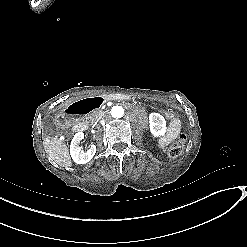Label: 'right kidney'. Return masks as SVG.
Returning <instances> with one entry per match:
<instances>
[{
	"mask_svg": "<svg viewBox=\"0 0 247 247\" xmlns=\"http://www.w3.org/2000/svg\"><path fill=\"white\" fill-rule=\"evenodd\" d=\"M84 139L83 132H77L70 145V155L73 161L77 164H86L88 163L96 153V146L90 145L87 151H83L79 146L80 142Z\"/></svg>",
	"mask_w": 247,
	"mask_h": 247,
	"instance_id": "obj_1",
	"label": "right kidney"
}]
</instances>
